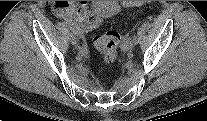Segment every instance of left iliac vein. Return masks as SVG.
I'll list each match as a JSON object with an SVG mask.
<instances>
[{
  "label": "left iliac vein",
  "mask_w": 207,
  "mask_h": 121,
  "mask_svg": "<svg viewBox=\"0 0 207 121\" xmlns=\"http://www.w3.org/2000/svg\"><path fill=\"white\" fill-rule=\"evenodd\" d=\"M134 42H128V41H126L125 43H124V49H126V50H130V49H132L133 47H134Z\"/></svg>",
  "instance_id": "left-iliac-vein-1"
}]
</instances>
